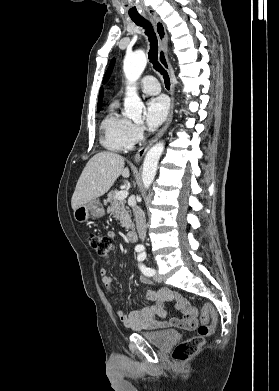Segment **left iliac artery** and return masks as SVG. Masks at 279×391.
Returning <instances> with one entry per match:
<instances>
[{
	"instance_id": "obj_1",
	"label": "left iliac artery",
	"mask_w": 279,
	"mask_h": 391,
	"mask_svg": "<svg viewBox=\"0 0 279 391\" xmlns=\"http://www.w3.org/2000/svg\"><path fill=\"white\" fill-rule=\"evenodd\" d=\"M146 259V253L145 252H141L138 257H137V260L139 262H143L144 260ZM139 268L141 270V272L146 275V276H153L155 274V270L152 269V268H149L147 266H145L144 264L140 263L139 264Z\"/></svg>"
}]
</instances>
